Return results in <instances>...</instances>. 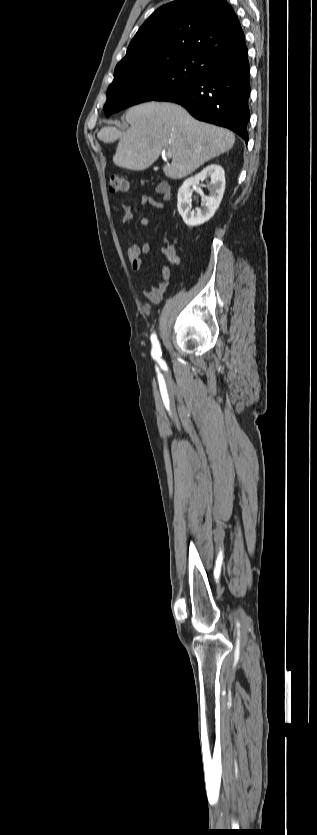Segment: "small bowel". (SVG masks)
Returning a JSON list of instances; mask_svg holds the SVG:
<instances>
[{
	"instance_id": "c3829d8e",
	"label": "small bowel",
	"mask_w": 317,
	"mask_h": 835,
	"mask_svg": "<svg viewBox=\"0 0 317 835\" xmlns=\"http://www.w3.org/2000/svg\"><path fill=\"white\" fill-rule=\"evenodd\" d=\"M155 193L160 200H157L150 195H143L141 198L142 205L151 206L159 210H164L166 207L164 202L169 201L171 198V191L169 186L165 183H160L156 186ZM123 210V224H127L133 219V212L130 206H124ZM139 224L141 227H147L149 226L150 221L148 218H141ZM149 251L150 246L148 243H145L142 246L136 244H129L128 246L127 259L131 265L132 270L138 278H140L139 273L142 268V256L147 254ZM163 254L166 258L168 265H164L162 267L160 281L157 284H151L147 286L144 290L145 297L152 304H158L162 300L168 288L169 281L171 278L170 266H176L180 263V258L174 248H166L163 251Z\"/></svg>"
}]
</instances>
